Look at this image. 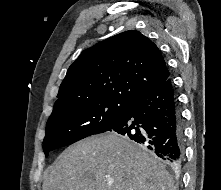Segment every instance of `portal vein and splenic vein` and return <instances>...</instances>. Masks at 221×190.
I'll use <instances>...</instances> for the list:
<instances>
[{
    "mask_svg": "<svg viewBox=\"0 0 221 190\" xmlns=\"http://www.w3.org/2000/svg\"><path fill=\"white\" fill-rule=\"evenodd\" d=\"M113 182H114V180L112 178L107 179L108 184H112Z\"/></svg>",
    "mask_w": 221,
    "mask_h": 190,
    "instance_id": "1",
    "label": "portal vein and splenic vein"
}]
</instances>
